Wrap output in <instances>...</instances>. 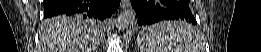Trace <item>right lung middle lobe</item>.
<instances>
[{"label":"right lung middle lobe","instance_id":"right-lung-middle-lobe-1","mask_svg":"<svg viewBox=\"0 0 261 52\" xmlns=\"http://www.w3.org/2000/svg\"><path fill=\"white\" fill-rule=\"evenodd\" d=\"M59 20H63V21H67V22H70V21H84V22H87L94 29H98L102 25V23L100 21H97V20L91 19V18H89L87 16H82V15L60 16Z\"/></svg>","mask_w":261,"mask_h":52}]
</instances>
